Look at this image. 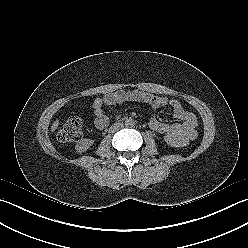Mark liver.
Returning <instances> with one entry per match:
<instances>
[{
    "label": "liver",
    "instance_id": "obj_1",
    "mask_svg": "<svg viewBox=\"0 0 248 248\" xmlns=\"http://www.w3.org/2000/svg\"><path fill=\"white\" fill-rule=\"evenodd\" d=\"M58 125H59V120L57 119L56 121H54V123L51 126V132H54L57 129Z\"/></svg>",
    "mask_w": 248,
    "mask_h": 248
}]
</instances>
